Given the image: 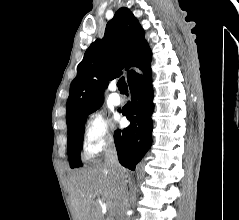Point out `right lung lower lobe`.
<instances>
[{
	"label": "right lung lower lobe",
	"mask_w": 239,
	"mask_h": 220,
	"mask_svg": "<svg viewBox=\"0 0 239 220\" xmlns=\"http://www.w3.org/2000/svg\"><path fill=\"white\" fill-rule=\"evenodd\" d=\"M142 71L144 75L135 73L128 80L131 101L124 106L122 114L130 125L114 132L119 162L131 170H135L152 143L154 105L150 65Z\"/></svg>",
	"instance_id": "right-lung-lower-lobe-1"
}]
</instances>
